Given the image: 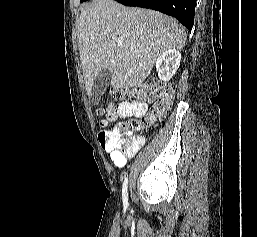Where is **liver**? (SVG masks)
<instances>
[{
    "label": "liver",
    "mask_w": 257,
    "mask_h": 237,
    "mask_svg": "<svg viewBox=\"0 0 257 237\" xmlns=\"http://www.w3.org/2000/svg\"><path fill=\"white\" fill-rule=\"evenodd\" d=\"M80 59L88 95L103 69L112 72L115 90L140 86L159 55L181 49L186 32L178 21L160 12L96 0L78 19ZM122 41L123 46L117 42Z\"/></svg>",
    "instance_id": "obj_1"
}]
</instances>
